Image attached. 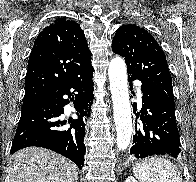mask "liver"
Returning <instances> with one entry per match:
<instances>
[{"label":"liver","instance_id":"liver-1","mask_svg":"<svg viewBox=\"0 0 196 182\" xmlns=\"http://www.w3.org/2000/svg\"><path fill=\"white\" fill-rule=\"evenodd\" d=\"M10 182H77V167L65 157L39 147H27L10 160Z\"/></svg>","mask_w":196,"mask_h":182}]
</instances>
